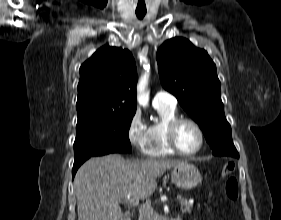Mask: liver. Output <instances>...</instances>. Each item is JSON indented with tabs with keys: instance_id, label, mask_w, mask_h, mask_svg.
<instances>
[{
	"instance_id": "liver-1",
	"label": "liver",
	"mask_w": 281,
	"mask_h": 220,
	"mask_svg": "<svg viewBox=\"0 0 281 220\" xmlns=\"http://www.w3.org/2000/svg\"><path fill=\"white\" fill-rule=\"evenodd\" d=\"M178 160L127 161L119 154L94 157L86 161L74 179L78 220H131L120 203L142 200L156 190L157 177L183 164ZM131 204V203H130Z\"/></svg>"
}]
</instances>
